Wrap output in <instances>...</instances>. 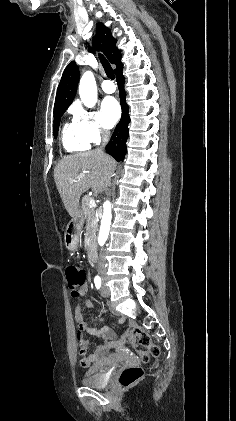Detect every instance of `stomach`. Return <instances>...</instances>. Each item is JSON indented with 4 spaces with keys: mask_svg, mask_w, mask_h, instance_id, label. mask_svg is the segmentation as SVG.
Here are the masks:
<instances>
[{
    "mask_svg": "<svg viewBox=\"0 0 236 421\" xmlns=\"http://www.w3.org/2000/svg\"><path fill=\"white\" fill-rule=\"evenodd\" d=\"M84 219L81 211H78L76 217H73L65 233V245L69 251H77L79 245V235L82 231Z\"/></svg>",
    "mask_w": 236,
    "mask_h": 421,
    "instance_id": "1",
    "label": "stomach"
}]
</instances>
